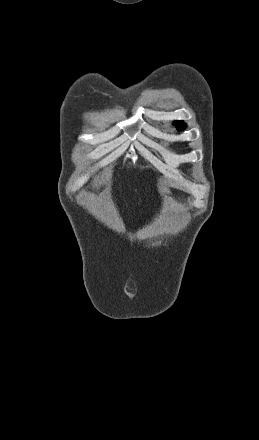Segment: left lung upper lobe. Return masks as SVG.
I'll use <instances>...</instances> for the list:
<instances>
[{"mask_svg":"<svg viewBox=\"0 0 259 440\" xmlns=\"http://www.w3.org/2000/svg\"><path fill=\"white\" fill-rule=\"evenodd\" d=\"M175 125L177 126V129H178V130L185 129V127H186V125L183 124L182 121H177V122L175 123Z\"/></svg>","mask_w":259,"mask_h":440,"instance_id":"left-lung-upper-lobe-1","label":"left lung upper lobe"}]
</instances>
